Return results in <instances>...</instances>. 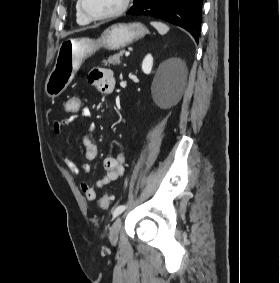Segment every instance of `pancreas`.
Instances as JSON below:
<instances>
[{"mask_svg":"<svg viewBox=\"0 0 280 283\" xmlns=\"http://www.w3.org/2000/svg\"><path fill=\"white\" fill-rule=\"evenodd\" d=\"M124 51H120L119 53L114 54L113 56H110L107 60H104L103 63L105 66L109 65H118L120 64L121 57L123 56Z\"/></svg>","mask_w":280,"mask_h":283,"instance_id":"pancreas-1","label":"pancreas"}]
</instances>
